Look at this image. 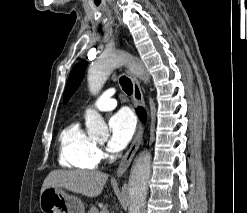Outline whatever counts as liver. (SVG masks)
I'll return each mask as SVG.
<instances>
[{"mask_svg":"<svg viewBox=\"0 0 247 213\" xmlns=\"http://www.w3.org/2000/svg\"><path fill=\"white\" fill-rule=\"evenodd\" d=\"M108 175L100 171L54 170L45 178L41 191L48 187L65 188L87 197L101 194Z\"/></svg>","mask_w":247,"mask_h":213,"instance_id":"obj_1","label":"liver"}]
</instances>
